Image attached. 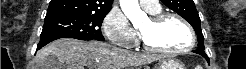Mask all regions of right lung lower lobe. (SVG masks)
<instances>
[{"instance_id": "98d812e1", "label": "right lung lower lobe", "mask_w": 246, "mask_h": 69, "mask_svg": "<svg viewBox=\"0 0 246 69\" xmlns=\"http://www.w3.org/2000/svg\"><path fill=\"white\" fill-rule=\"evenodd\" d=\"M56 39H59V38L58 37H53V38H42V39H40V42L37 45V50L41 49L43 46H45L49 42L54 41Z\"/></svg>"}]
</instances>
